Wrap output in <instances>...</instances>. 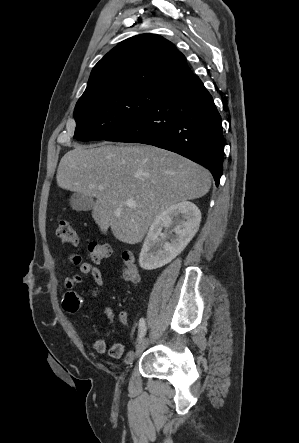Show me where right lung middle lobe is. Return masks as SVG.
I'll list each match as a JSON object with an SVG mask.
<instances>
[{
    "mask_svg": "<svg viewBox=\"0 0 299 443\" xmlns=\"http://www.w3.org/2000/svg\"><path fill=\"white\" fill-rule=\"evenodd\" d=\"M152 88H120L79 99L74 139L105 140L141 117L163 94Z\"/></svg>",
    "mask_w": 299,
    "mask_h": 443,
    "instance_id": "obj_1",
    "label": "right lung middle lobe"
}]
</instances>
